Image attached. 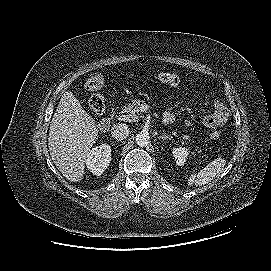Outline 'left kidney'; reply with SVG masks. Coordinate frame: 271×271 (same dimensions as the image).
<instances>
[{"mask_svg":"<svg viewBox=\"0 0 271 271\" xmlns=\"http://www.w3.org/2000/svg\"><path fill=\"white\" fill-rule=\"evenodd\" d=\"M172 154L177 160L176 161L177 165L182 166L186 162V159L189 155V151L187 148H183V147L173 148Z\"/></svg>","mask_w":271,"mask_h":271,"instance_id":"1","label":"left kidney"}]
</instances>
